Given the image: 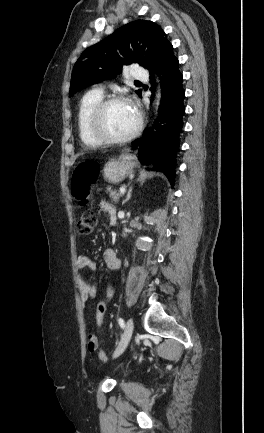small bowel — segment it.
Here are the masks:
<instances>
[{
  "label": "small bowel",
  "instance_id": "obj_1",
  "mask_svg": "<svg viewBox=\"0 0 264 433\" xmlns=\"http://www.w3.org/2000/svg\"><path fill=\"white\" fill-rule=\"evenodd\" d=\"M99 208L101 211L105 212L109 216V220L111 224L116 222V211L114 207L107 201H101L99 204ZM104 261L108 268L110 269H118L121 266V260L118 257L116 251L114 249H108L104 252ZM77 265L80 269L87 270H95V263L86 255H80L77 260ZM78 287L80 291V301L82 307L85 308L87 303L96 297L97 294V285L89 284L81 277L78 278ZM113 295V289L110 286L106 287V295L105 297L108 300L111 299ZM99 347V339L97 336L90 334L87 340V349L89 352H95Z\"/></svg>",
  "mask_w": 264,
  "mask_h": 433
}]
</instances>
